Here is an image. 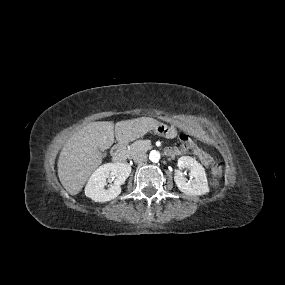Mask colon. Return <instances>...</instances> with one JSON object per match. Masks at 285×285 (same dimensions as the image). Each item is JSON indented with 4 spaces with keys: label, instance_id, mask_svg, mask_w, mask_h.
Masks as SVG:
<instances>
[{
    "label": "colon",
    "instance_id": "1",
    "mask_svg": "<svg viewBox=\"0 0 285 285\" xmlns=\"http://www.w3.org/2000/svg\"><path fill=\"white\" fill-rule=\"evenodd\" d=\"M178 140L188 149H192L197 145V140L187 132H181L178 135ZM212 172L214 177L219 179L222 175V165L219 162H216L213 165Z\"/></svg>",
    "mask_w": 285,
    "mask_h": 285
}]
</instances>
